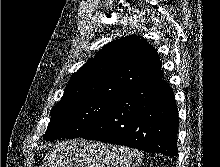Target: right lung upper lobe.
<instances>
[{
	"mask_svg": "<svg viewBox=\"0 0 220 167\" xmlns=\"http://www.w3.org/2000/svg\"><path fill=\"white\" fill-rule=\"evenodd\" d=\"M159 79L161 61L154 47L140 36H126L105 45L73 74L61 99L116 97Z\"/></svg>",
	"mask_w": 220,
	"mask_h": 167,
	"instance_id": "cb5924a9",
	"label": "right lung upper lobe"
}]
</instances>
